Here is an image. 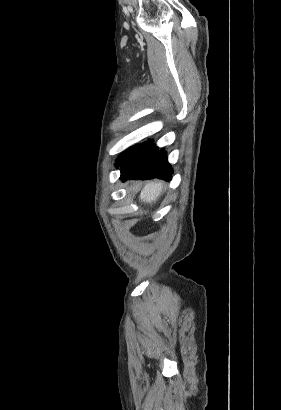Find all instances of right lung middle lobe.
I'll return each mask as SVG.
<instances>
[{
    "label": "right lung middle lobe",
    "mask_w": 281,
    "mask_h": 410,
    "mask_svg": "<svg viewBox=\"0 0 281 410\" xmlns=\"http://www.w3.org/2000/svg\"><path fill=\"white\" fill-rule=\"evenodd\" d=\"M134 149V147L129 148L127 151L123 152L117 159L116 164L118 166H120L125 159L129 156V154L131 153V151Z\"/></svg>",
    "instance_id": "obj_1"
}]
</instances>
